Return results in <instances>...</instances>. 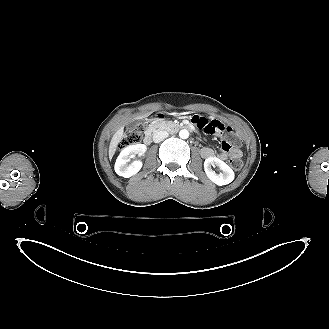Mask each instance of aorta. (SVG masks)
<instances>
[{"label": "aorta", "mask_w": 329, "mask_h": 329, "mask_svg": "<svg viewBox=\"0 0 329 329\" xmlns=\"http://www.w3.org/2000/svg\"><path fill=\"white\" fill-rule=\"evenodd\" d=\"M179 137H180L181 139H187V138L189 137V132H188V130H186V129H182V130H180V132H179Z\"/></svg>", "instance_id": "obj_1"}]
</instances>
